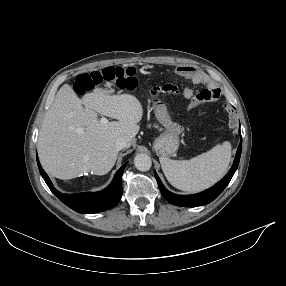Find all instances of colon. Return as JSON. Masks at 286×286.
Instances as JSON below:
<instances>
[{"mask_svg":"<svg viewBox=\"0 0 286 286\" xmlns=\"http://www.w3.org/2000/svg\"><path fill=\"white\" fill-rule=\"evenodd\" d=\"M104 83H116L122 89L131 90L137 85L135 70L133 68L121 67H105L102 70L89 73H82L76 78V89L79 94L90 92L97 86ZM160 92H175L172 85H164L154 89V93L150 96V101L153 106V113L161 128L166 132L173 134L179 139H185L189 135L187 127L180 122L175 121L166 111L165 101ZM196 102H201L202 97L197 95Z\"/></svg>","mask_w":286,"mask_h":286,"instance_id":"obj_1","label":"colon"}]
</instances>
